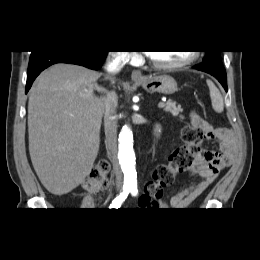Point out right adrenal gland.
Listing matches in <instances>:
<instances>
[{
  "label": "right adrenal gland",
  "mask_w": 260,
  "mask_h": 260,
  "mask_svg": "<svg viewBox=\"0 0 260 260\" xmlns=\"http://www.w3.org/2000/svg\"><path fill=\"white\" fill-rule=\"evenodd\" d=\"M95 86V89L98 91V92H105V89L98 86L97 84L94 85Z\"/></svg>",
  "instance_id": "obj_1"
}]
</instances>
